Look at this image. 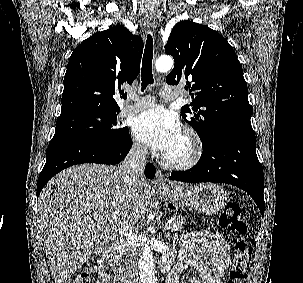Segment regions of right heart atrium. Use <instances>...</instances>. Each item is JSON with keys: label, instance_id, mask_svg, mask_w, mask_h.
<instances>
[{"label": "right heart atrium", "instance_id": "d8ad5b80", "mask_svg": "<svg viewBox=\"0 0 303 283\" xmlns=\"http://www.w3.org/2000/svg\"><path fill=\"white\" fill-rule=\"evenodd\" d=\"M131 150H132L133 154H135L138 157H144L147 154L146 146L139 141L133 142Z\"/></svg>", "mask_w": 303, "mask_h": 283}]
</instances>
